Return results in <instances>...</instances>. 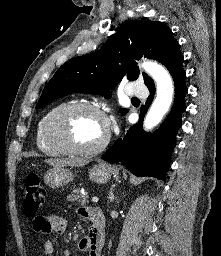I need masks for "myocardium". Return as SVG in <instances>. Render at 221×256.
Returning <instances> with one entry per match:
<instances>
[{
    "mask_svg": "<svg viewBox=\"0 0 221 256\" xmlns=\"http://www.w3.org/2000/svg\"><path fill=\"white\" fill-rule=\"evenodd\" d=\"M78 110H87L99 115L106 124V134L104 138L95 146L79 147L74 145L62 130L63 119L70 113ZM45 137L51 144L60 147L65 153L71 155H95L100 153L108 145L110 139L109 123L106 113L97 105L74 101L62 104L55 109L47 119L45 127Z\"/></svg>",
    "mask_w": 221,
    "mask_h": 256,
    "instance_id": "obj_1",
    "label": "myocardium"
}]
</instances>
